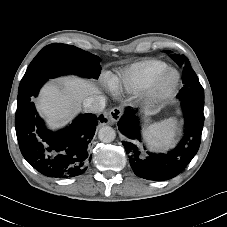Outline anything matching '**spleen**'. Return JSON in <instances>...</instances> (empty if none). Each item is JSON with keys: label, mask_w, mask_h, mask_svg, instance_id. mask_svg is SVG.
I'll return each instance as SVG.
<instances>
[{"label": "spleen", "mask_w": 227, "mask_h": 227, "mask_svg": "<svg viewBox=\"0 0 227 227\" xmlns=\"http://www.w3.org/2000/svg\"><path fill=\"white\" fill-rule=\"evenodd\" d=\"M178 130L176 118H169L148 129L144 136L151 150L162 151L171 147Z\"/></svg>", "instance_id": "1"}]
</instances>
